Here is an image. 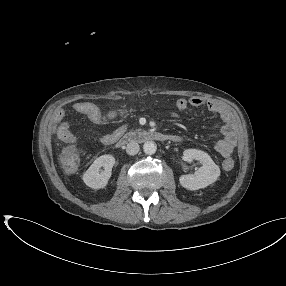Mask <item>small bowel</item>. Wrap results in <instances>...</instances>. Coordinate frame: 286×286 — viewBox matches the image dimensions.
Instances as JSON below:
<instances>
[{
  "label": "small bowel",
  "mask_w": 286,
  "mask_h": 286,
  "mask_svg": "<svg viewBox=\"0 0 286 286\" xmlns=\"http://www.w3.org/2000/svg\"><path fill=\"white\" fill-rule=\"evenodd\" d=\"M188 107H206L208 111L219 115L223 121L222 133L223 139L219 140L215 144V149L223 157H229L238 143V135L235 130V126L232 120V115L229 109L217 102L206 100L202 97L194 96L191 98H179L176 101V109L178 111L186 110ZM72 109L79 114L86 116L91 122L97 125H106L116 121L124 113V109H111L103 111L99 106L88 101L75 102L72 105ZM173 116H177L176 112L172 113ZM67 116L65 109H58L54 112L53 120L55 122V130L60 139L69 138L73 143L78 142L79 139L71 132L69 124L64 120ZM127 126L125 124L120 125L110 133L91 137L85 140L87 143H94L100 145H112L114 144L126 131Z\"/></svg>",
  "instance_id": "small-bowel-1"
}]
</instances>
